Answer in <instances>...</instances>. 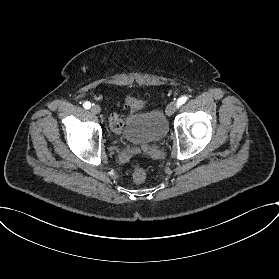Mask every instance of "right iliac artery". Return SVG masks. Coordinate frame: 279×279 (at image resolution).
Segmentation results:
<instances>
[{
  "instance_id": "obj_1",
  "label": "right iliac artery",
  "mask_w": 279,
  "mask_h": 279,
  "mask_svg": "<svg viewBox=\"0 0 279 279\" xmlns=\"http://www.w3.org/2000/svg\"><path fill=\"white\" fill-rule=\"evenodd\" d=\"M83 107H84L85 109H90L91 103L87 101V102H85V103L83 104Z\"/></svg>"
}]
</instances>
